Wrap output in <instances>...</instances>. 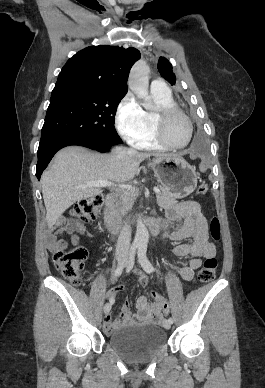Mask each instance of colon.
<instances>
[{"label":"colon","mask_w":265,"mask_h":388,"mask_svg":"<svg viewBox=\"0 0 265 388\" xmlns=\"http://www.w3.org/2000/svg\"><path fill=\"white\" fill-rule=\"evenodd\" d=\"M208 186L205 183L199 184L197 195L203 197L207 194ZM103 198L94 196L83 199L76 203L72 208V215L81 222H89L95 219L101 210ZM210 232L214 240L220 238L221 225L217 217L212 218L210 223ZM87 257V250L78 246L69 251L57 250L54 253V265L62 273V275L72 284L79 285L82 282V269L84 261ZM217 269V260L215 257L205 259L199 273L198 278L201 282H210L215 277ZM154 302L159 304L164 315L169 314V305L166 300L160 297L155 292L150 293Z\"/></svg>","instance_id":"1"}]
</instances>
